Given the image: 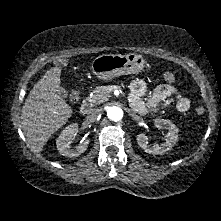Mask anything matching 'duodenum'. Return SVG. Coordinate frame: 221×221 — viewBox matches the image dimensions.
<instances>
[{
    "label": "duodenum",
    "instance_id": "duodenum-1",
    "mask_svg": "<svg viewBox=\"0 0 221 221\" xmlns=\"http://www.w3.org/2000/svg\"><path fill=\"white\" fill-rule=\"evenodd\" d=\"M91 106H92L91 102L88 100H85L80 106L81 114H87L90 111Z\"/></svg>",
    "mask_w": 221,
    "mask_h": 221
}]
</instances>
